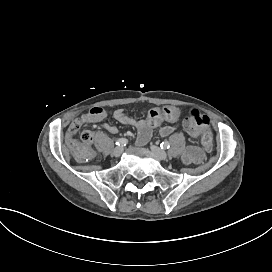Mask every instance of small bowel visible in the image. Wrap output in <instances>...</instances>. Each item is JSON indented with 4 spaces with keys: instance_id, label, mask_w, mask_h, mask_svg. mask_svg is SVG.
Listing matches in <instances>:
<instances>
[{
    "instance_id": "obj_1",
    "label": "small bowel",
    "mask_w": 272,
    "mask_h": 272,
    "mask_svg": "<svg viewBox=\"0 0 272 272\" xmlns=\"http://www.w3.org/2000/svg\"><path fill=\"white\" fill-rule=\"evenodd\" d=\"M109 116H112L123 125L134 127L138 131V142L144 144L150 138L152 129L159 126L163 121L168 124L160 127V135L163 137L171 135L179 126L180 112L176 107L154 108L149 111L146 119H137L122 109L109 112L102 107L94 106L71 123L67 134V141L71 146H76L74 136L83 124L100 123L106 131L111 134H116L118 132L116 126L103 123ZM84 132L90 133L94 138L92 132ZM183 159L187 164L199 163L201 160V152L195 146H188L183 153Z\"/></svg>"
}]
</instances>
